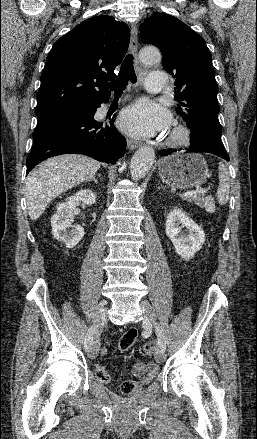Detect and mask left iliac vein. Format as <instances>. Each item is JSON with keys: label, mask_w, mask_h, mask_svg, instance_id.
Instances as JSON below:
<instances>
[{"label": "left iliac vein", "mask_w": 257, "mask_h": 439, "mask_svg": "<svg viewBox=\"0 0 257 439\" xmlns=\"http://www.w3.org/2000/svg\"><path fill=\"white\" fill-rule=\"evenodd\" d=\"M140 307L144 315V323L146 325L155 324V312L151 304L148 301H141ZM155 357L159 362H163L166 358L165 350L160 345L157 348Z\"/></svg>", "instance_id": "4c4485c4"}]
</instances>
